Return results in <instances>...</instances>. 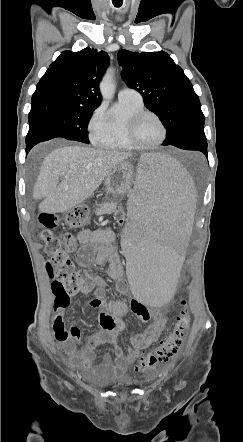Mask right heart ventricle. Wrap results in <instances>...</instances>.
I'll list each match as a JSON object with an SVG mask.
<instances>
[{
	"mask_svg": "<svg viewBox=\"0 0 243 442\" xmlns=\"http://www.w3.org/2000/svg\"><path fill=\"white\" fill-rule=\"evenodd\" d=\"M143 101L120 100L104 117L103 128L95 135L93 142L112 150L130 151L135 148L127 139V123L137 112L144 110Z\"/></svg>",
	"mask_w": 243,
	"mask_h": 442,
	"instance_id": "1",
	"label": "right heart ventricle"
}]
</instances>
